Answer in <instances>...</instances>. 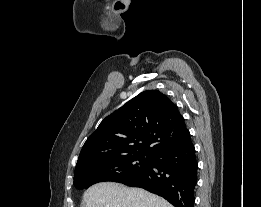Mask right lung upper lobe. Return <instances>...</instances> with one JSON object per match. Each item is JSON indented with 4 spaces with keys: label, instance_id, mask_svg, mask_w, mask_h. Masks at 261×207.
I'll list each match as a JSON object with an SVG mask.
<instances>
[{
    "label": "right lung upper lobe",
    "instance_id": "right-lung-upper-lobe-1",
    "mask_svg": "<svg viewBox=\"0 0 261 207\" xmlns=\"http://www.w3.org/2000/svg\"><path fill=\"white\" fill-rule=\"evenodd\" d=\"M188 140L177 106L160 91H144L100 123L83 145L76 169L118 156L152 157Z\"/></svg>",
    "mask_w": 261,
    "mask_h": 207
}]
</instances>
